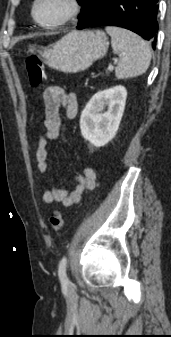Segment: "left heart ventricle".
<instances>
[{
	"mask_svg": "<svg viewBox=\"0 0 171 337\" xmlns=\"http://www.w3.org/2000/svg\"><path fill=\"white\" fill-rule=\"evenodd\" d=\"M68 7L65 0H41L37 9V18L46 23H55L67 13Z\"/></svg>",
	"mask_w": 171,
	"mask_h": 337,
	"instance_id": "obj_1",
	"label": "left heart ventricle"
}]
</instances>
